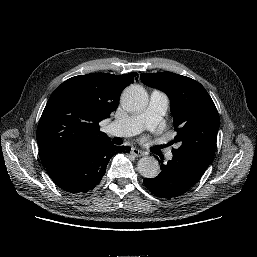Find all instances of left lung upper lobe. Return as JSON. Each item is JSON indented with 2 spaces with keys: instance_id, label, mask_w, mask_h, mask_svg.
I'll list each match as a JSON object with an SVG mask.
<instances>
[{
  "instance_id": "1",
  "label": "left lung upper lobe",
  "mask_w": 257,
  "mask_h": 257,
  "mask_svg": "<svg viewBox=\"0 0 257 257\" xmlns=\"http://www.w3.org/2000/svg\"><path fill=\"white\" fill-rule=\"evenodd\" d=\"M141 81L165 92L179 142L177 152H188L211 163L215 153L219 116L206 89L197 81L172 72L142 73Z\"/></svg>"
}]
</instances>
